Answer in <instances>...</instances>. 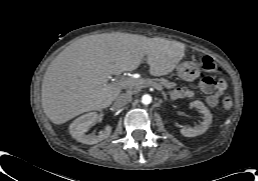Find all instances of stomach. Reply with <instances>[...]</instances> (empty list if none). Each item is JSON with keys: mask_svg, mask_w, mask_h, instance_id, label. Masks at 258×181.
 Segmentation results:
<instances>
[{"mask_svg": "<svg viewBox=\"0 0 258 181\" xmlns=\"http://www.w3.org/2000/svg\"><path fill=\"white\" fill-rule=\"evenodd\" d=\"M199 66L192 61H186L177 66L178 75L185 80H192L199 75Z\"/></svg>", "mask_w": 258, "mask_h": 181, "instance_id": "stomach-1", "label": "stomach"}]
</instances>
